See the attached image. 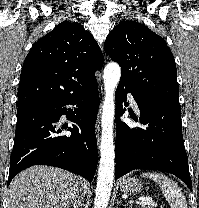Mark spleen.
Segmentation results:
<instances>
[{
	"instance_id": "1",
	"label": "spleen",
	"mask_w": 199,
	"mask_h": 208,
	"mask_svg": "<svg viewBox=\"0 0 199 208\" xmlns=\"http://www.w3.org/2000/svg\"><path fill=\"white\" fill-rule=\"evenodd\" d=\"M143 177L152 179L158 184L168 201L171 208H187L186 198L178 187L177 183L169 179L164 174L145 172L142 173Z\"/></svg>"
}]
</instances>
